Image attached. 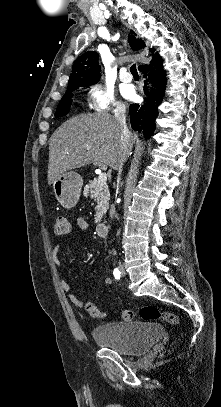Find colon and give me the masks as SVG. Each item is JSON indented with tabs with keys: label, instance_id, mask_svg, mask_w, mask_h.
Listing matches in <instances>:
<instances>
[{
	"label": "colon",
	"instance_id": "obj_1",
	"mask_svg": "<svg viewBox=\"0 0 221 407\" xmlns=\"http://www.w3.org/2000/svg\"><path fill=\"white\" fill-rule=\"evenodd\" d=\"M68 231H69V223H68L67 218L64 216H59L56 220V225H55L56 234L65 235L68 233ZM86 309L93 318H103L105 316V313L103 311H101L100 309H98L92 303H87ZM136 316H139L143 321H146V322H153V321L160 320V321L170 322L171 324H174V325L178 324V319L173 313H171L169 311H163L156 306H144L138 311L137 314L131 310H123L121 312V318L124 321H131Z\"/></svg>",
	"mask_w": 221,
	"mask_h": 407
}]
</instances>
